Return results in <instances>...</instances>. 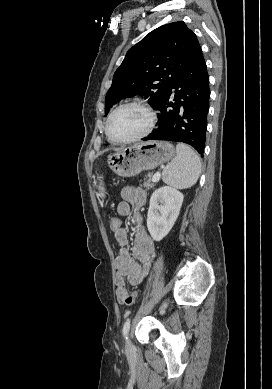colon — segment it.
Segmentation results:
<instances>
[{"mask_svg": "<svg viewBox=\"0 0 272 389\" xmlns=\"http://www.w3.org/2000/svg\"><path fill=\"white\" fill-rule=\"evenodd\" d=\"M122 225L121 219L118 216H112L109 218V228L113 233H116L118 230H120ZM137 300V293L132 292L128 294L125 298L123 303L130 306L133 305Z\"/></svg>", "mask_w": 272, "mask_h": 389, "instance_id": "1", "label": "colon"}]
</instances>
